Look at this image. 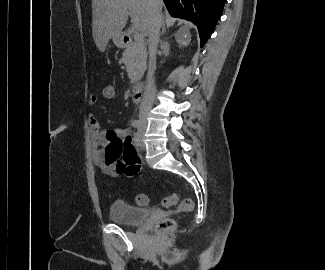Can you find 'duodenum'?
Returning a JSON list of instances; mask_svg holds the SVG:
<instances>
[{
  "mask_svg": "<svg viewBox=\"0 0 325 270\" xmlns=\"http://www.w3.org/2000/svg\"><path fill=\"white\" fill-rule=\"evenodd\" d=\"M123 39L125 42H128L130 39L128 36L124 35ZM133 101L137 104H140L144 100V86L142 84H138L133 89Z\"/></svg>",
  "mask_w": 325,
  "mask_h": 270,
  "instance_id": "obj_1",
  "label": "duodenum"
}]
</instances>
